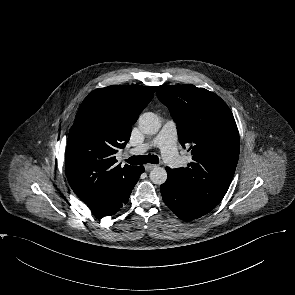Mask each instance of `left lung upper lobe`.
<instances>
[{"mask_svg":"<svg viewBox=\"0 0 295 295\" xmlns=\"http://www.w3.org/2000/svg\"><path fill=\"white\" fill-rule=\"evenodd\" d=\"M157 97L170 110L179 141L190 146L193 160L186 168H169L171 178L210 212L225 196L239 158L232 112L218 95L192 84L158 86Z\"/></svg>","mask_w":295,"mask_h":295,"instance_id":"left-lung-upper-lobe-1","label":"left lung upper lobe"}]
</instances>
